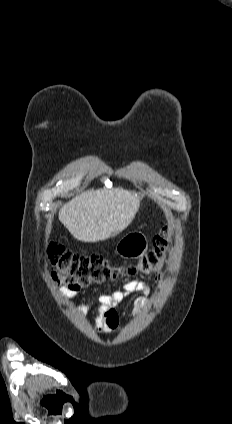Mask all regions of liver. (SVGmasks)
Masks as SVG:
<instances>
[{
  "label": "liver",
  "instance_id": "6515ba94",
  "mask_svg": "<svg viewBox=\"0 0 232 424\" xmlns=\"http://www.w3.org/2000/svg\"><path fill=\"white\" fill-rule=\"evenodd\" d=\"M140 197L123 188L90 189L59 211L60 222L83 242H98L124 230L139 210Z\"/></svg>",
  "mask_w": 232,
  "mask_h": 424
}]
</instances>
